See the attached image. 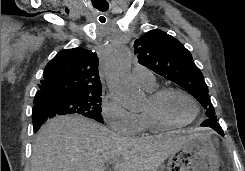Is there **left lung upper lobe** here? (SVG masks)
Returning <instances> with one entry per match:
<instances>
[{"instance_id": "1", "label": "left lung upper lobe", "mask_w": 245, "mask_h": 171, "mask_svg": "<svg viewBox=\"0 0 245 171\" xmlns=\"http://www.w3.org/2000/svg\"><path fill=\"white\" fill-rule=\"evenodd\" d=\"M138 62L189 91L206 109L210 121H216L203 74L191 53L174 37L151 30L135 41Z\"/></svg>"}]
</instances>
